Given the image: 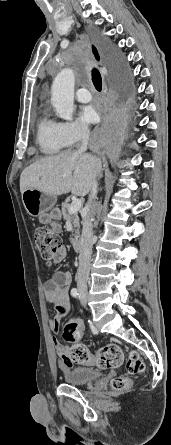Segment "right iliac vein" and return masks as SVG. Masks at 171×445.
<instances>
[{"label":"right iliac vein","mask_w":171,"mask_h":445,"mask_svg":"<svg viewBox=\"0 0 171 445\" xmlns=\"http://www.w3.org/2000/svg\"><path fill=\"white\" fill-rule=\"evenodd\" d=\"M81 297H82V300L84 301V302H88V295H87V293H85V292H81Z\"/></svg>","instance_id":"obj_1"}]
</instances>
